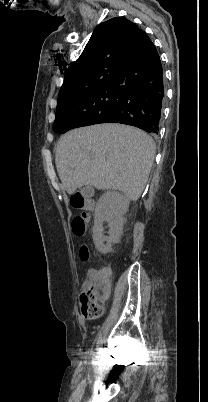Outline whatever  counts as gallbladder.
Here are the masks:
<instances>
[{
	"instance_id": "obj_1",
	"label": "gallbladder",
	"mask_w": 208,
	"mask_h": 402,
	"mask_svg": "<svg viewBox=\"0 0 208 402\" xmlns=\"http://www.w3.org/2000/svg\"><path fill=\"white\" fill-rule=\"evenodd\" d=\"M95 194V187L94 186H85L83 188V197L85 199H90L92 195Z\"/></svg>"
}]
</instances>
